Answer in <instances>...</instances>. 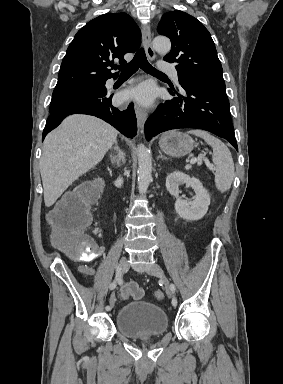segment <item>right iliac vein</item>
Wrapping results in <instances>:
<instances>
[{
	"instance_id": "63e3f726",
	"label": "right iliac vein",
	"mask_w": 283,
	"mask_h": 384,
	"mask_svg": "<svg viewBox=\"0 0 283 384\" xmlns=\"http://www.w3.org/2000/svg\"><path fill=\"white\" fill-rule=\"evenodd\" d=\"M128 261H127V258L126 257H122L120 259V262H119V269H120V272L121 274L126 272L127 269H128ZM114 303H115V296H113L112 300H111V306L113 307L114 306ZM110 311V310H109Z\"/></svg>"
}]
</instances>
